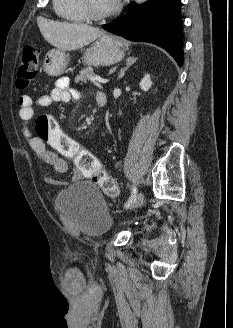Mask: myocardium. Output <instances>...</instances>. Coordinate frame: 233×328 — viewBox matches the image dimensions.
I'll return each mask as SVG.
<instances>
[{
	"instance_id": "myocardium-1",
	"label": "myocardium",
	"mask_w": 233,
	"mask_h": 328,
	"mask_svg": "<svg viewBox=\"0 0 233 328\" xmlns=\"http://www.w3.org/2000/svg\"><path fill=\"white\" fill-rule=\"evenodd\" d=\"M81 5L86 14L87 19L95 20V21L112 17L115 14H117L121 8L120 4L116 3L115 6L108 11L97 12L91 7L89 0H81Z\"/></svg>"
}]
</instances>
